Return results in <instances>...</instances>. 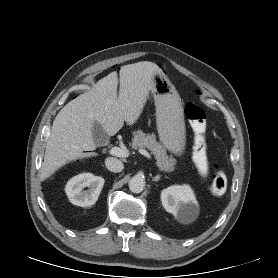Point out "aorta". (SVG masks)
Wrapping results in <instances>:
<instances>
[{
    "mask_svg": "<svg viewBox=\"0 0 278 278\" xmlns=\"http://www.w3.org/2000/svg\"><path fill=\"white\" fill-rule=\"evenodd\" d=\"M145 188V180L143 177L136 175L129 181V189L133 193H141Z\"/></svg>",
    "mask_w": 278,
    "mask_h": 278,
    "instance_id": "obj_1",
    "label": "aorta"
}]
</instances>
